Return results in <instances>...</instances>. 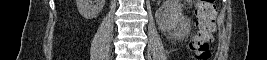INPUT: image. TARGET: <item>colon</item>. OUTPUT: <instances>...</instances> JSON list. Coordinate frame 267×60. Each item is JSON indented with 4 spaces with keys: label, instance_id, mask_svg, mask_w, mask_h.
Instances as JSON below:
<instances>
[{
    "label": "colon",
    "instance_id": "5ec220e1",
    "mask_svg": "<svg viewBox=\"0 0 267 60\" xmlns=\"http://www.w3.org/2000/svg\"><path fill=\"white\" fill-rule=\"evenodd\" d=\"M216 0L196 2L197 32L190 42L194 59L207 60L211 57L210 35L216 15Z\"/></svg>",
    "mask_w": 267,
    "mask_h": 60
}]
</instances>
